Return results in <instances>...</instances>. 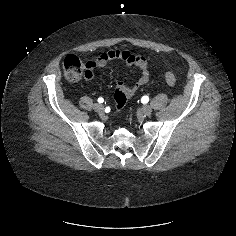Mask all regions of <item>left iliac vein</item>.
Masks as SVG:
<instances>
[{"label": "left iliac vein", "mask_w": 236, "mask_h": 236, "mask_svg": "<svg viewBox=\"0 0 236 236\" xmlns=\"http://www.w3.org/2000/svg\"><path fill=\"white\" fill-rule=\"evenodd\" d=\"M141 111L145 115H150L152 113V108L149 105H143Z\"/></svg>", "instance_id": "left-iliac-vein-1"}]
</instances>
